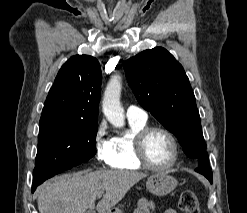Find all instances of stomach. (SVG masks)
Masks as SVG:
<instances>
[{"instance_id": "1", "label": "stomach", "mask_w": 247, "mask_h": 213, "mask_svg": "<svg viewBox=\"0 0 247 213\" xmlns=\"http://www.w3.org/2000/svg\"><path fill=\"white\" fill-rule=\"evenodd\" d=\"M177 180L167 173H155L146 182L147 190L156 196H165L171 193L177 186ZM105 213H123L122 209L115 207Z\"/></svg>"}]
</instances>
